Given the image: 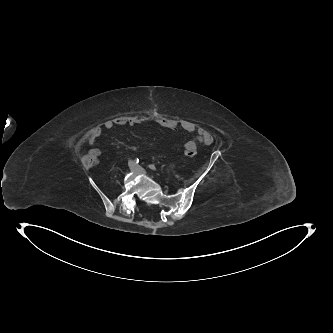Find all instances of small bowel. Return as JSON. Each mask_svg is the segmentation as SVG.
<instances>
[{
    "instance_id": "small-bowel-1",
    "label": "small bowel",
    "mask_w": 333,
    "mask_h": 333,
    "mask_svg": "<svg viewBox=\"0 0 333 333\" xmlns=\"http://www.w3.org/2000/svg\"><path fill=\"white\" fill-rule=\"evenodd\" d=\"M143 122L144 121L142 119L136 117H120L114 120L106 121L103 127L109 130L112 129L114 126H135L142 124ZM157 123L165 129L176 130L177 128H181L188 133L194 134V137L184 144L185 150L196 151L197 145L199 143L203 145H209L213 142L212 135L203 128L197 126L195 123L189 121L177 122L172 119H159ZM101 135L102 127H95L89 133V136L87 138L88 143L90 145H94ZM91 153L96 157L100 155V151L97 148L92 149Z\"/></svg>"
}]
</instances>
